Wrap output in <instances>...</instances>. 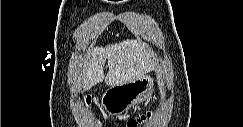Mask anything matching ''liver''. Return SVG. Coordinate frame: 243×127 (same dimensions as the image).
I'll return each mask as SVG.
<instances>
[{
	"label": "liver",
	"instance_id": "obj_1",
	"mask_svg": "<svg viewBox=\"0 0 243 127\" xmlns=\"http://www.w3.org/2000/svg\"><path fill=\"white\" fill-rule=\"evenodd\" d=\"M88 61L82 74L83 89L105 80L108 86L124 84L140 78L154 69V55L151 50L136 40H126L89 49ZM108 63V73L104 75V65Z\"/></svg>",
	"mask_w": 243,
	"mask_h": 127
}]
</instances>
